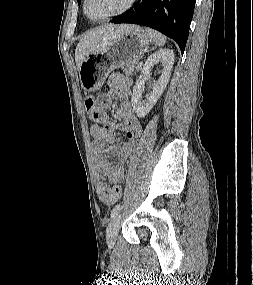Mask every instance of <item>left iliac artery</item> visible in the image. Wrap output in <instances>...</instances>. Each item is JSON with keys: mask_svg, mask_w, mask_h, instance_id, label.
<instances>
[{"mask_svg": "<svg viewBox=\"0 0 253 285\" xmlns=\"http://www.w3.org/2000/svg\"><path fill=\"white\" fill-rule=\"evenodd\" d=\"M121 210V205L120 204H117L113 209H112V212H111V217H115L118 212Z\"/></svg>", "mask_w": 253, "mask_h": 285, "instance_id": "44dca946", "label": "left iliac artery"}]
</instances>
